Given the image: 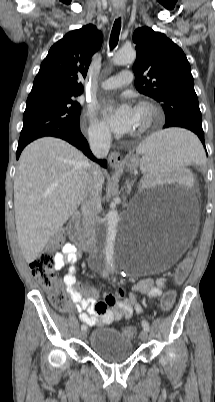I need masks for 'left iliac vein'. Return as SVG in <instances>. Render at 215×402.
<instances>
[{
	"instance_id": "obj_1",
	"label": "left iliac vein",
	"mask_w": 215,
	"mask_h": 402,
	"mask_svg": "<svg viewBox=\"0 0 215 402\" xmlns=\"http://www.w3.org/2000/svg\"><path fill=\"white\" fill-rule=\"evenodd\" d=\"M140 338L142 341H147L148 340V331L143 329L140 333Z\"/></svg>"
}]
</instances>
